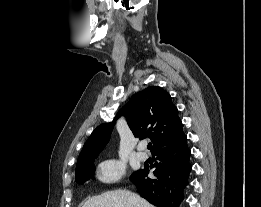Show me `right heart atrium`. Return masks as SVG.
<instances>
[{
  "instance_id": "1",
  "label": "right heart atrium",
  "mask_w": 261,
  "mask_h": 207,
  "mask_svg": "<svg viewBox=\"0 0 261 207\" xmlns=\"http://www.w3.org/2000/svg\"><path fill=\"white\" fill-rule=\"evenodd\" d=\"M124 172L125 165L121 160L107 159L98 167V178L105 183H113L120 180Z\"/></svg>"
}]
</instances>
